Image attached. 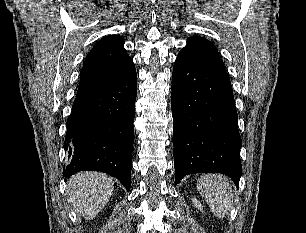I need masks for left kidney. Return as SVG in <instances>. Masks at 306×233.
Returning a JSON list of instances; mask_svg holds the SVG:
<instances>
[{
  "label": "left kidney",
  "mask_w": 306,
  "mask_h": 233,
  "mask_svg": "<svg viewBox=\"0 0 306 233\" xmlns=\"http://www.w3.org/2000/svg\"><path fill=\"white\" fill-rule=\"evenodd\" d=\"M192 202L194 203V206H195L196 208H198V209H200V210L203 211V208H202L201 203H200L196 198H193V199H192Z\"/></svg>",
  "instance_id": "left-kidney-1"
}]
</instances>
